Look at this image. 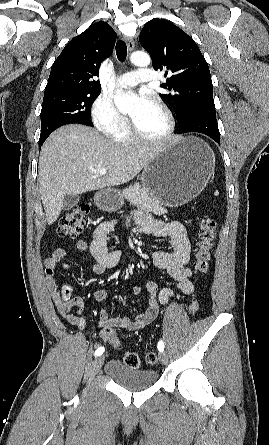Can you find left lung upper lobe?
Listing matches in <instances>:
<instances>
[{"label": "left lung upper lobe", "mask_w": 269, "mask_h": 445, "mask_svg": "<svg viewBox=\"0 0 269 445\" xmlns=\"http://www.w3.org/2000/svg\"><path fill=\"white\" fill-rule=\"evenodd\" d=\"M139 40L155 70L171 74L161 85L171 92L160 96L176 112L179 128L197 115H216L208 64L189 35L171 22L155 18L145 24Z\"/></svg>", "instance_id": "1"}]
</instances>
